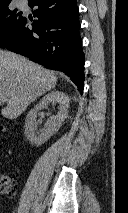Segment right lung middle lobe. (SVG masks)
<instances>
[{
    "instance_id": "right-lung-middle-lobe-1",
    "label": "right lung middle lobe",
    "mask_w": 128,
    "mask_h": 213,
    "mask_svg": "<svg viewBox=\"0 0 128 213\" xmlns=\"http://www.w3.org/2000/svg\"><path fill=\"white\" fill-rule=\"evenodd\" d=\"M8 5L0 6V42L6 39L25 19L21 13H17V10L11 11Z\"/></svg>"
}]
</instances>
